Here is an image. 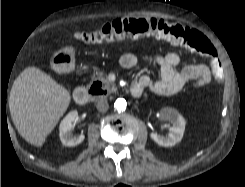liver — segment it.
<instances>
[{
	"mask_svg": "<svg viewBox=\"0 0 245 187\" xmlns=\"http://www.w3.org/2000/svg\"><path fill=\"white\" fill-rule=\"evenodd\" d=\"M71 101L70 92L36 67L26 68L14 81L9 108L18 133L41 147Z\"/></svg>",
	"mask_w": 245,
	"mask_h": 187,
	"instance_id": "6515ba94",
	"label": "liver"
}]
</instances>
